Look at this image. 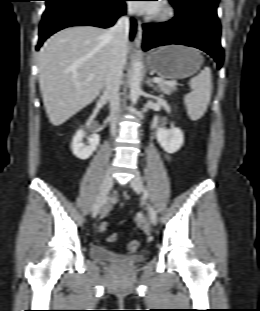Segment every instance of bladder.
<instances>
[{
  "label": "bladder",
  "instance_id": "31cf9c89",
  "mask_svg": "<svg viewBox=\"0 0 260 311\" xmlns=\"http://www.w3.org/2000/svg\"><path fill=\"white\" fill-rule=\"evenodd\" d=\"M89 254L94 261L104 264H115L118 262H123L126 264H136L143 260V256L140 254L128 256L120 255L110 249L99 245L90 246Z\"/></svg>",
  "mask_w": 260,
  "mask_h": 311
}]
</instances>
